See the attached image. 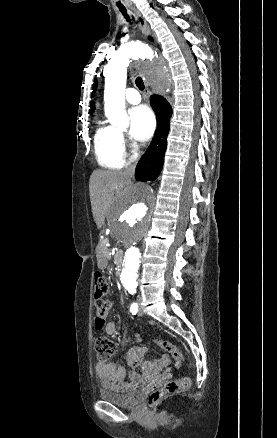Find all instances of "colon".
I'll return each mask as SVG.
<instances>
[{"instance_id":"colon-1","label":"colon","mask_w":277,"mask_h":438,"mask_svg":"<svg viewBox=\"0 0 277 438\" xmlns=\"http://www.w3.org/2000/svg\"><path fill=\"white\" fill-rule=\"evenodd\" d=\"M95 292L94 298L96 300L95 307L97 318L103 323L105 322L110 303L105 299L109 292V286L105 275L101 271H97L94 276ZM162 346L170 352L176 359L177 365H180L184 359V353L178 348L171 346L168 343H161ZM95 349L97 357L100 361L109 359L116 350V344L106 335H98L95 337ZM190 385V378L187 376L179 377L172 380H167L164 389H151L150 393L145 396L147 409H158L159 402L164 398H176L177 393L188 388Z\"/></svg>"}]
</instances>
